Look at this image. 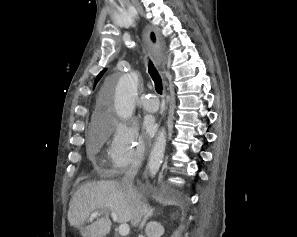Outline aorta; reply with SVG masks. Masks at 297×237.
I'll list each match as a JSON object with an SVG mask.
<instances>
[{
  "label": "aorta",
  "mask_w": 297,
  "mask_h": 237,
  "mask_svg": "<svg viewBox=\"0 0 297 237\" xmlns=\"http://www.w3.org/2000/svg\"><path fill=\"white\" fill-rule=\"evenodd\" d=\"M139 75L131 72L123 75L116 86L114 108L116 114L123 120H127L134 114L135 101L137 97V87ZM166 145V135L163 130L158 134L153 150L149 158V170L151 175H155L162 163Z\"/></svg>",
  "instance_id": "obj_1"
}]
</instances>
